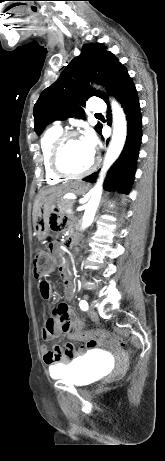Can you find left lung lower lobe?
<instances>
[{"label":"left lung lower lobe","instance_id":"obj_1","mask_svg":"<svg viewBox=\"0 0 165 461\" xmlns=\"http://www.w3.org/2000/svg\"><path fill=\"white\" fill-rule=\"evenodd\" d=\"M111 94L120 102L127 119L126 142L119 158L112 165L104 182L107 191L117 190L127 194L130 190L136 171V160L142 138V116L135 85L127 70L123 71L117 79ZM105 102L109 105L108 99ZM110 109V106H109ZM107 115H110V110ZM101 130L99 131V133ZM108 143V141H107ZM98 172L85 178L86 182H95Z\"/></svg>","mask_w":165,"mask_h":461}]
</instances>
